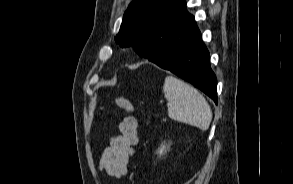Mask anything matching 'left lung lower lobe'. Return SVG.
<instances>
[{
    "label": "left lung lower lobe",
    "mask_w": 293,
    "mask_h": 184,
    "mask_svg": "<svg viewBox=\"0 0 293 184\" xmlns=\"http://www.w3.org/2000/svg\"><path fill=\"white\" fill-rule=\"evenodd\" d=\"M146 47L153 53L150 61L190 82L217 103V80L209 52L194 17L186 10L185 0L171 16L165 33Z\"/></svg>",
    "instance_id": "left-lung-lower-lobe-1"
}]
</instances>
